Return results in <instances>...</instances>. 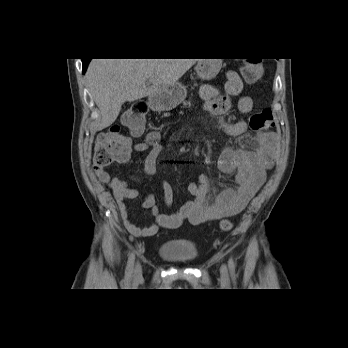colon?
<instances>
[{"label":"colon","mask_w":348,"mask_h":348,"mask_svg":"<svg viewBox=\"0 0 348 348\" xmlns=\"http://www.w3.org/2000/svg\"><path fill=\"white\" fill-rule=\"evenodd\" d=\"M264 67L259 58L241 60V74L248 83L257 82L263 73ZM147 104L144 100L136 101L124 113L123 124L134 134L141 135L145 129ZM251 129L255 131L266 130L273 125L272 113L269 110H262L251 115L249 119ZM156 133L148 136L149 142H155ZM132 149L131 139L122 134L118 126H112L99 134L94 153L95 165L104 168L111 163L120 162L126 159ZM232 222L224 219L220 223V230L228 232L232 229Z\"/></svg>","instance_id":"5ec220e1"}]
</instances>
